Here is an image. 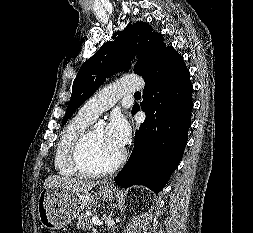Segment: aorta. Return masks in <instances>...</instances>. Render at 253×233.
<instances>
[{"mask_svg":"<svg viewBox=\"0 0 253 233\" xmlns=\"http://www.w3.org/2000/svg\"><path fill=\"white\" fill-rule=\"evenodd\" d=\"M98 124H99V125L103 124V121L100 120V121L98 122Z\"/></svg>","mask_w":253,"mask_h":233,"instance_id":"762f6f07","label":"aorta"}]
</instances>
